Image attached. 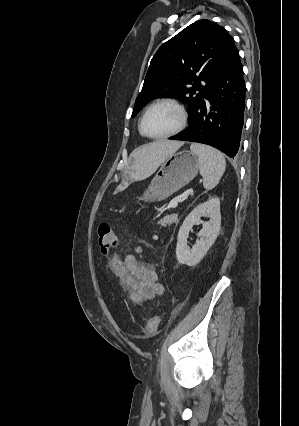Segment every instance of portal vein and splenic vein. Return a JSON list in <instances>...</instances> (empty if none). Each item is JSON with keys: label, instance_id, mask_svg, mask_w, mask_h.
Instances as JSON below:
<instances>
[{"label": "portal vein and splenic vein", "instance_id": "obj_1", "mask_svg": "<svg viewBox=\"0 0 299 426\" xmlns=\"http://www.w3.org/2000/svg\"><path fill=\"white\" fill-rule=\"evenodd\" d=\"M178 201H179V198H175V199H173V200L170 202L169 206H170L171 208H175V207H177V205H178Z\"/></svg>", "mask_w": 299, "mask_h": 426}]
</instances>
